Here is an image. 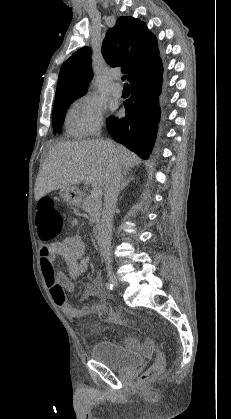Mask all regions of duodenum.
Segmentation results:
<instances>
[{
  "instance_id": "410a0bca",
  "label": "duodenum",
  "mask_w": 231,
  "mask_h": 419,
  "mask_svg": "<svg viewBox=\"0 0 231 419\" xmlns=\"http://www.w3.org/2000/svg\"><path fill=\"white\" fill-rule=\"evenodd\" d=\"M93 233H94L95 239L97 241L101 240V237H102V229H101V226L99 224H95L94 225V227H93Z\"/></svg>"
}]
</instances>
